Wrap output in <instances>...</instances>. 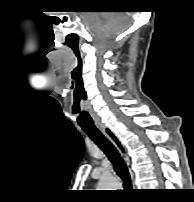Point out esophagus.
Returning a JSON list of instances; mask_svg holds the SVG:
<instances>
[{
    "label": "esophagus",
    "instance_id": "obj_1",
    "mask_svg": "<svg viewBox=\"0 0 194 202\" xmlns=\"http://www.w3.org/2000/svg\"><path fill=\"white\" fill-rule=\"evenodd\" d=\"M97 127L115 145V147L118 149L125 162L129 165L130 163L129 156L127 154L125 146L123 145L119 137L109 127H107L104 124H97Z\"/></svg>",
    "mask_w": 194,
    "mask_h": 202
}]
</instances>
